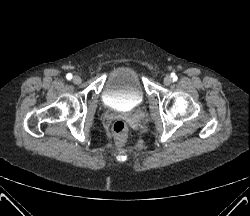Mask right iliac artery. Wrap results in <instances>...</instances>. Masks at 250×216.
<instances>
[{
  "label": "right iliac artery",
  "mask_w": 250,
  "mask_h": 216,
  "mask_svg": "<svg viewBox=\"0 0 250 216\" xmlns=\"http://www.w3.org/2000/svg\"><path fill=\"white\" fill-rule=\"evenodd\" d=\"M66 78H67L68 80H71V79H72V74H71V73H68V74L66 75Z\"/></svg>",
  "instance_id": "1"
}]
</instances>
